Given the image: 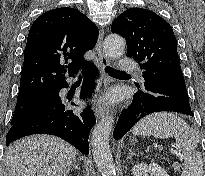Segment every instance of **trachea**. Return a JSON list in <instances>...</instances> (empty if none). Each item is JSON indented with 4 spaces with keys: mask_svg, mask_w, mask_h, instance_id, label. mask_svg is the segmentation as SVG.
I'll list each match as a JSON object with an SVG mask.
<instances>
[{
    "mask_svg": "<svg viewBox=\"0 0 205 176\" xmlns=\"http://www.w3.org/2000/svg\"><path fill=\"white\" fill-rule=\"evenodd\" d=\"M105 71L109 74V75H112V74H116V73H124L122 71H119V70H115L111 67H106Z\"/></svg>",
    "mask_w": 205,
    "mask_h": 176,
    "instance_id": "trachea-1",
    "label": "trachea"
}]
</instances>
